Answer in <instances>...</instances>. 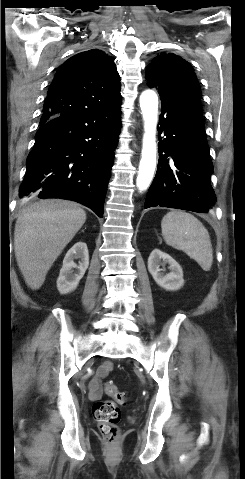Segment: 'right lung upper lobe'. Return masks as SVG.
Instances as JSON below:
<instances>
[{
	"instance_id": "right-lung-upper-lobe-1",
	"label": "right lung upper lobe",
	"mask_w": 245,
	"mask_h": 479,
	"mask_svg": "<svg viewBox=\"0 0 245 479\" xmlns=\"http://www.w3.org/2000/svg\"><path fill=\"white\" fill-rule=\"evenodd\" d=\"M121 104L120 77L112 57L98 49L69 58L49 87L40 125L60 116Z\"/></svg>"
}]
</instances>
